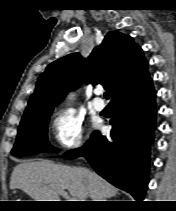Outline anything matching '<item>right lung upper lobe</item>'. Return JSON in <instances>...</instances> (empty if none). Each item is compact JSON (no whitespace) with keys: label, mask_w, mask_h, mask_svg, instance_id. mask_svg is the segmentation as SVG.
<instances>
[{"label":"right lung upper lobe","mask_w":176,"mask_h":211,"mask_svg":"<svg viewBox=\"0 0 176 211\" xmlns=\"http://www.w3.org/2000/svg\"><path fill=\"white\" fill-rule=\"evenodd\" d=\"M84 81L103 85L111 92L114 103L136 94L152 80L139 46L130 36L111 31L87 59L72 53L48 65L22 118L53 109Z\"/></svg>","instance_id":"cb5924a9"}]
</instances>
